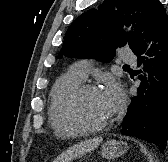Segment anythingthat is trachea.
<instances>
[{"mask_svg":"<svg viewBox=\"0 0 168 162\" xmlns=\"http://www.w3.org/2000/svg\"><path fill=\"white\" fill-rule=\"evenodd\" d=\"M124 67H129L128 65H124Z\"/></svg>","mask_w":168,"mask_h":162,"instance_id":"obj_1","label":"trachea"}]
</instances>
